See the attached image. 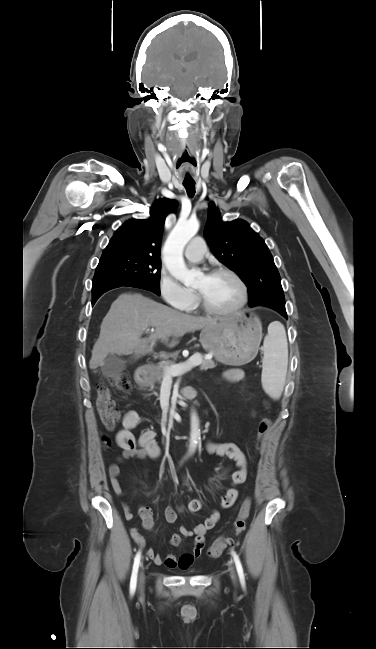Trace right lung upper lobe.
<instances>
[{
	"instance_id": "obj_1",
	"label": "right lung upper lobe",
	"mask_w": 376,
	"mask_h": 649,
	"mask_svg": "<svg viewBox=\"0 0 376 649\" xmlns=\"http://www.w3.org/2000/svg\"><path fill=\"white\" fill-rule=\"evenodd\" d=\"M177 207L175 200L163 198L154 202L150 218L131 219L123 223L112 236L103 254L132 252L160 255L164 221Z\"/></svg>"
}]
</instances>
